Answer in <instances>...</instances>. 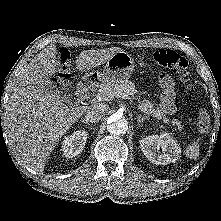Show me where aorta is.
<instances>
[{
	"label": "aorta",
	"instance_id": "aorta-1",
	"mask_svg": "<svg viewBox=\"0 0 221 221\" xmlns=\"http://www.w3.org/2000/svg\"><path fill=\"white\" fill-rule=\"evenodd\" d=\"M128 129V123L124 117L115 113L107 120V130L113 135L125 134Z\"/></svg>",
	"mask_w": 221,
	"mask_h": 221
}]
</instances>
